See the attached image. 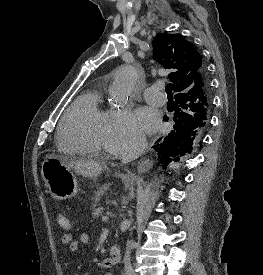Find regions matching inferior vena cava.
<instances>
[{"label":"inferior vena cava","mask_w":263,"mask_h":275,"mask_svg":"<svg viewBox=\"0 0 263 275\" xmlns=\"http://www.w3.org/2000/svg\"><path fill=\"white\" fill-rule=\"evenodd\" d=\"M148 143L144 134L138 135L129 146L125 147L121 152L122 163H128L137 159L147 148ZM133 242L128 240L126 244V252L124 256L125 275H135L134 269L130 262V253Z\"/></svg>","instance_id":"602c4592"}]
</instances>
